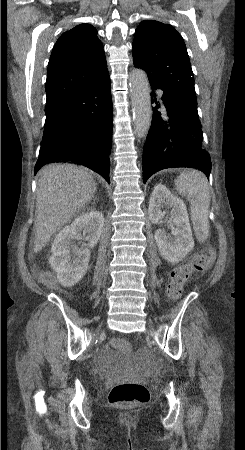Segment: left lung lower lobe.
<instances>
[{
    "label": "left lung lower lobe",
    "instance_id": "1",
    "mask_svg": "<svg viewBox=\"0 0 245 450\" xmlns=\"http://www.w3.org/2000/svg\"><path fill=\"white\" fill-rule=\"evenodd\" d=\"M152 90L163 91L162 100L166 115L157 111L160 104L154 93L151 101L156 102L153 118L147 135L143 154V182L157 171L173 167H193L205 173L209 179L211 160L203 146V133L197 109L175 95L162 82L149 78Z\"/></svg>",
    "mask_w": 245,
    "mask_h": 450
}]
</instances>
